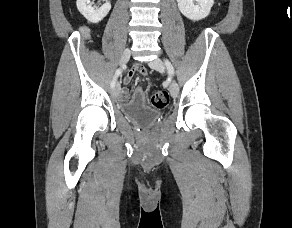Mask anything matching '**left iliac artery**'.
<instances>
[{"label":"left iliac artery","instance_id":"left-iliac-artery-1","mask_svg":"<svg viewBox=\"0 0 292 228\" xmlns=\"http://www.w3.org/2000/svg\"><path fill=\"white\" fill-rule=\"evenodd\" d=\"M165 64L167 66L169 74L174 75V68H173L171 62H169V60L166 59Z\"/></svg>","mask_w":292,"mask_h":228}]
</instances>
